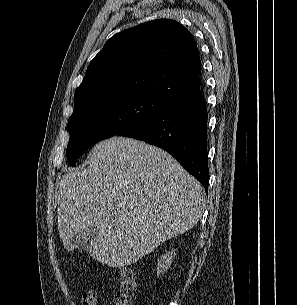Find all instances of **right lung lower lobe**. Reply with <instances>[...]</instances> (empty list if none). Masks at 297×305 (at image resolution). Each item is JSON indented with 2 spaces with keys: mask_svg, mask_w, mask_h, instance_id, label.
<instances>
[{
  "mask_svg": "<svg viewBox=\"0 0 297 305\" xmlns=\"http://www.w3.org/2000/svg\"><path fill=\"white\" fill-rule=\"evenodd\" d=\"M207 109L200 88L171 99L145 121L122 131L169 152L208 192Z\"/></svg>",
  "mask_w": 297,
  "mask_h": 305,
  "instance_id": "obj_1",
  "label": "right lung lower lobe"
}]
</instances>
